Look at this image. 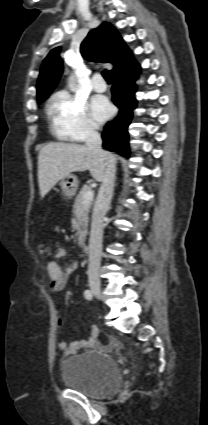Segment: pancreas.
Wrapping results in <instances>:
<instances>
[{"label": "pancreas", "instance_id": "obj_1", "mask_svg": "<svg viewBox=\"0 0 208 425\" xmlns=\"http://www.w3.org/2000/svg\"><path fill=\"white\" fill-rule=\"evenodd\" d=\"M91 190L89 185H85L79 192L73 207V222L72 228L77 231L78 235V245L80 247L84 246L85 238L88 233V214L92 205V200L83 203V197L87 191Z\"/></svg>", "mask_w": 208, "mask_h": 425}]
</instances>
